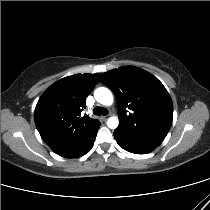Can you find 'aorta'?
<instances>
[{"instance_id":"obj_1","label":"aorta","mask_w":210,"mask_h":210,"mask_svg":"<svg viewBox=\"0 0 210 210\" xmlns=\"http://www.w3.org/2000/svg\"><path fill=\"white\" fill-rule=\"evenodd\" d=\"M94 97L97 102L105 106H111L113 104V95L108 88L99 87L94 92ZM119 125V119L117 117H110L107 121V126L110 129H116Z\"/></svg>"}]
</instances>
